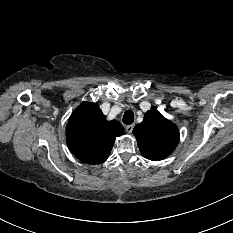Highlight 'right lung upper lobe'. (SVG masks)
<instances>
[{"instance_id": "1", "label": "right lung upper lobe", "mask_w": 233, "mask_h": 233, "mask_svg": "<svg viewBox=\"0 0 233 233\" xmlns=\"http://www.w3.org/2000/svg\"><path fill=\"white\" fill-rule=\"evenodd\" d=\"M116 121H107L98 104L83 102L70 116L66 127L69 150L81 161L101 164L109 156L115 137L124 135Z\"/></svg>"}]
</instances>
